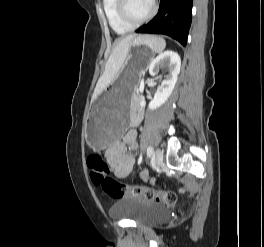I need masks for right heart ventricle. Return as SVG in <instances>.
Wrapping results in <instances>:
<instances>
[{"mask_svg":"<svg viewBox=\"0 0 264 247\" xmlns=\"http://www.w3.org/2000/svg\"><path fill=\"white\" fill-rule=\"evenodd\" d=\"M118 0H102L103 11L106 15L110 27L117 34H125L131 30L132 27L124 23L117 13Z\"/></svg>","mask_w":264,"mask_h":247,"instance_id":"right-heart-ventricle-1","label":"right heart ventricle"}]
</instances>
